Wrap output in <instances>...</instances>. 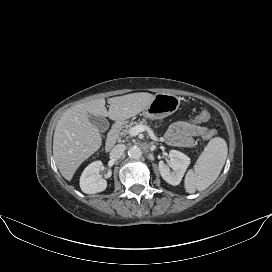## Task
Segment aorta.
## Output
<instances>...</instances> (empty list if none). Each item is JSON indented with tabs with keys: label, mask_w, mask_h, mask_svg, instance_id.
<instances>
[{
	"label": "aorta",
	"mask_w": 272,
	"mask_h": 272,
	"mask_svg": "<svg viewBox=\"0 0 272 272\" xmlns=\"http://www.w3.org/2000/svg\"><path fill=\"white\" fill-rule=\"evenodd\" d=\"M128 155L131 158L139 159L142 156V151L140 148L133 146V147L129 148Z\"/></svg>",
	"instance_id": "762f6f07"
}]
</instances>
